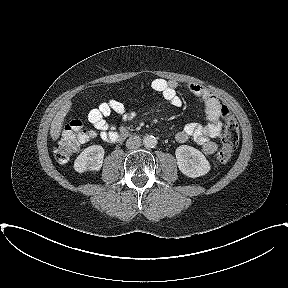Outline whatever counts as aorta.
I'll return each instance as SVG.
<instances>
[{
    "label": "aorta",
    "mask_w": 288,
    "mask_h": 288,
    "mask_svg": "<svg viewBox=\"0 0 288 288\" xmlns=\"http://www.w3.org/2000/svg\"><path fill=\"white\" fill-rule=\"evenodd\" d=\"M143 144L145 147L154 148L157 145V139L152 135H146L143 138Z\"/></svg>",
    "instance_id": "762f6f07"
}]
</instances>
